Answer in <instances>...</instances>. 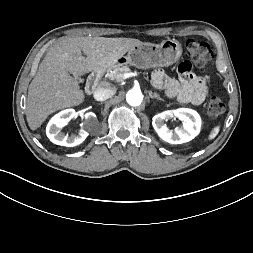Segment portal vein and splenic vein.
<instances>
[{"label":"portal vein and splenic vein","instance_id":"1","mask_svg":"<svg viewBox=\"0 0 253 253\" xmlns=\"http://www.w3.org/2000/svg\"><path fill=\"white\" fill-rule=\"evenodd\" d=\"M135 75H136L135 73H124V74L121 75V78L122 79H127V78L135 76Z\"/></svg>","mask_w":253,"mask_h":253}]
</instances>
